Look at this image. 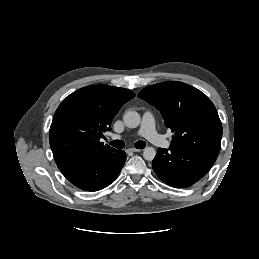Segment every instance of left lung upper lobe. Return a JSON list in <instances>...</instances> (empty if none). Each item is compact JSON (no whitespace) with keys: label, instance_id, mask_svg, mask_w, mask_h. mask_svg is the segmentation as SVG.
<instances>
[{"label":"left lung upper lobe","instance_id":"5c2ea615","mask_svg":"<svg viewBox=\"0 0 259 259\" xmlns=\"http://www.w3.org/2000/svg\"><path fill=\"white\" fill-rule=\"evenodd\" d=\"M138 97L156 107L174 133L171 148L219 154L222 125L217 110L200 90L175 81L154 84Z\"/></svg>","mask_w":259,"mask_h":259}]
</instances>
